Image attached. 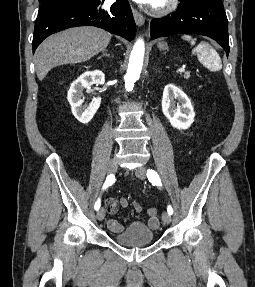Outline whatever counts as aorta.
<instances>
[{
	"label": "aorta",
	"mask_w": 255,
	"mask_h": 287,
	"mask_svg": "<svg viewBox=\"0 0 255 287\" xmlns=\"http://www.w3.org/2000/svg\"><path fill=\"white\" fill-rule=\"evenodd\" d=\"M144 53V41L142 39H138L131 52L128 70L125 75V88L127 91H132L135 82L140 77L143 66Z\"/></svg>",
	"instance_id": "762f6f07"
}]
</instances>
